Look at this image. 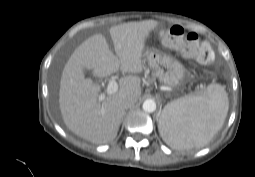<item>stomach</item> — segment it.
Listing matches in <instances>:
<instances>
[{"instance_id":"obj_1","label":"stomach","mask_w":255,"mask_h":177,"mask_svg":"<svg viewBox=\"0 0 255 177\" xmlns=\"http://www.w3.org/2000/svg\"><path fill=\"white\" fill-rule=\"evenodd\" d=\"M144 56L162 83L171 88L181 85L185 68L178 60L155 49H148Z\"/></svg>"}]
</instances>
